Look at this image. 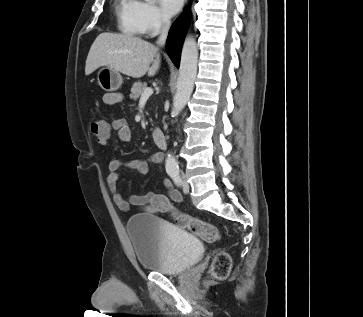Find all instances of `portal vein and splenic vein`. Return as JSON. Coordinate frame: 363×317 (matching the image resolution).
<instances>
[{
  "mask_svg": "<svg viewBox=\"0 0 363 317\" xmlns=\"http://www.w3.org/2000/svg\"><path fill=\"white\" fill-rule=\"evenodd\" d=\"M153 94V89L151 87H147L141 95V99H147Z\"/></svg>",
  "mask_w": 363,
  "mask_h": 317,
  "instance_id": "portal-vein-and-splenic-vein-1",
  "label": "portal vein and splenic vein"
}]
</instances>
